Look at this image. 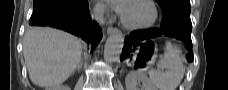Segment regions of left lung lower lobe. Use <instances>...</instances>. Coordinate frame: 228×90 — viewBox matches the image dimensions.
Segmentation results:
<instances>
[{
    "mask_svg": "<svg viewBox=\"0 0 228 90\" xmlns=\"http://www.w3.org/2000/svg\"><path fill=\"white\" fill-rule=\"evenodd\" d=\"M182 22V20H179ZM191 26L179 25L176 23H165L162 22L161 29L153 28L142 31H135L130 33L129 36L125 38L124 48L121 53L120 60H124L128 57V54L132 51L130 46L131 43H136L138 41L160 36L164 34L165 36H170L181 40L188 49L187 60L191 62L194 59L192 52V41H191Z\"/></svg>",
    "mask_w": 228,
    "mask_h": 90,
    "instance_id": "1",
    "label": "left lung lower lobe"
}]
</instances>
